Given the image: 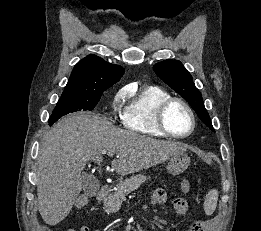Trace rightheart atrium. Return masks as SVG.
<instances>
[{"label": "right heart atrium", "mask_w": 261, "mask_h": 231, "mask_svg": "<svg viewBox=\"0 0 261 231\" xmlns=\"http://www.w3.org/2000/svg\"><path fill=\"white\" fill-rule=\"evenodd\" d=\"M126 94V88L121 89L120 91H118L114 97L113 100V106L116 107L117 104L125 97Z\"/></svg>", "instance_id": "d8ad5b80"}]
</instances>
